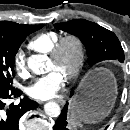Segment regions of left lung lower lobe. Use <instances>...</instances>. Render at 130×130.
I'll use <instances>...</instances> for the list:
<instances>
[{"mask_svg": "<svg viewBox=\"0 0 130 130\" xmlns=\"http://www.w3.org/2000/svg\"><path fill=\"white\" fill-rule=\"evenodd\" d=\"M73 94L74 93L72 92L70 94V96H73ZM67 110H68V103H66L60 116L58 117L57 121L55 122L54 130H68Z\"/></svg>", "mask_w": 130, "mask_h": 130, "instance_id": "obj_1", "label": "left lung lower lobe"}]
</instances>
